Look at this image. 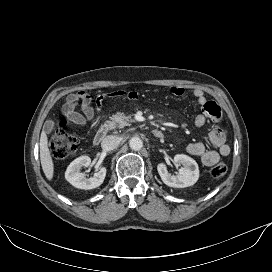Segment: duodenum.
I'll use <instances>...</instances> for the list:
<instances>
[{
  "mask_svg": "<svg viewBox=\"0 0 272 272\" xmlns=\"http://www.w3.org/2000/svg\"><path fill=\"white\" fill-rule=\"evenodd\" d=\"M108 130H109L108 125L102 126L99 129V131L96 133V135L94 136V140H93L94 144L96 145L100 144L106 137ZM152 133L158 139H162L164 137V134L161 130L155 129L152 131Z\"/></svg>",
  "mask_w": 272,
  "mask_h": 272,
  "instance_id": "duodenum-1",
  "label": "duodenum"
}]
</instances>
